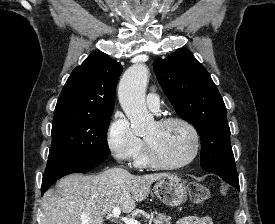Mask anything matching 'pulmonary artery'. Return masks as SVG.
Wrapping results in <instances>:
<instances>
[{
  "mask_svg": "<svg viewBox=\"0 0 275 224\" xmlns=\"http://www.w3.org/2000/svg\"><path fill=\"white\" fill-rule=\"evenodd\" d=\"M160 96L157 93H149L146 99V103L147 106L149 107V109H151L152 111H159L160 109Z\"/></svg>",
  "mask_w": 275,
  "mask_h": 224,
  "instance_id": "1",
  "label": "pulmonary artery"
}]
</instances>
